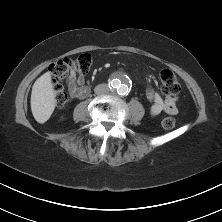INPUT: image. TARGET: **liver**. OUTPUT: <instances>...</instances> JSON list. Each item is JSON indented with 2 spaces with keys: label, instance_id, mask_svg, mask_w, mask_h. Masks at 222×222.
<instances>
[{
  "label": "liver",
  "instance_id": "obj_1",
  "mask_svg": "<svg viewBox=\"0 0 222 222\" xmlns=\"http://www.w3.org/2000/svg\"><path fill=\"white\" fill-rule=\"evenodd\" d=\"M56 106L50 72L44 73L34 83L31 93V110L38 123H45Z\"/></svg>",
  "mask_w": 222,
  "mask_h": 222
}]
</instances>
